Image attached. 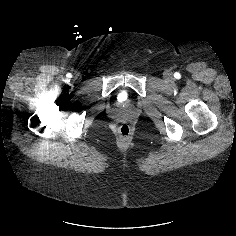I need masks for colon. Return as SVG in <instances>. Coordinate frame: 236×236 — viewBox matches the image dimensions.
Wrapping results in <instances>:
<instances>
[{
	"label": "colon",
	"instance_id": "5ec220e1",
	"mask_svg": "<svg viewBox=\"0 0 236 236\" xmlns=\"http://www.w3.org/2000/svg\"><path fill=\"white\" fill-rule=\"evenodd\" d=\"M118 133L122 140L127 141L131 136V126L127 123H122L118 127Z\"/></svg>",
	"mask_w": 236,
	"mask_h": 236
}]
</instances>
